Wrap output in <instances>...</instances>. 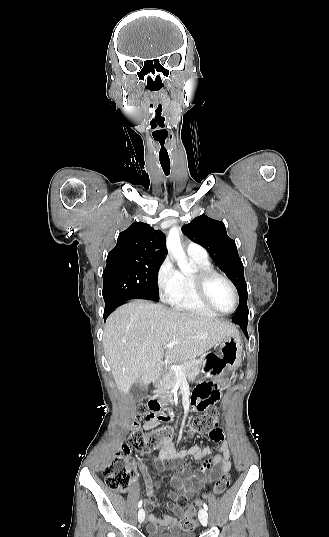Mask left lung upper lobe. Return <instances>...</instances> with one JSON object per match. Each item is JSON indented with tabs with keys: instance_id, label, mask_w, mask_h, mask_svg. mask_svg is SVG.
<instances>
[{
	"instance_id": "left-lung-upper-lobe-1",
	"label": "left lung upper lobe",
	"mask_w": 329,
	"mask_h": 537,
	"mask_svg": "<svg viewBox=\"0 0 329 537\" xmlns=\"http://www.w3.org/2000/svg\"><path fill=\"white\" fill-rule=\"evenodd\" d=\"M183 231L190 240L200 244L208 251L235 285L239 294V306L232 320L241 325L243 321L248 320L247 284L236 244L228 237L224 223L201 215L183 226Z\"/></svg>"
}]
</instances>
